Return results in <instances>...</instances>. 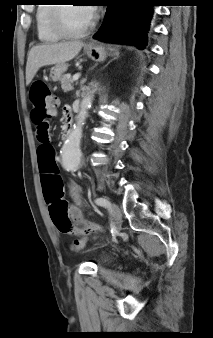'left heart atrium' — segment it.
<instances>
[{
	"mask_svg": "<svg viewBox=\"0 0 213 338\" xmlns=\"http://www.w3.org/2000/svg\"><path fill=\"white\" fill-rule=\"evenodd\" d=\"M86 13H87V16L89 17V19H92L95 15V12H94L92 7H87Z\"/></svg>",
	"mask_w": 213,
	"mask_h": 338,
	"instance_id": "1",
	"label": "left heart atrium"
}]
</instances>
